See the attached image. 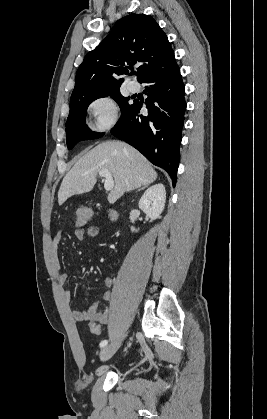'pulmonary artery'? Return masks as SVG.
Returning <instances> with one entry per match:
<instances>
[{"mask_svg":"<svg viewBox=\"0 0 267 419\" xmlns=\"http://www.w3.org/2000/svg\"><path fill=\"white\" fill-rule=\"evenodd\" d=\"M128 89L130 92L136 93L139 90V85L136 82L131 81L128 83Z\"/></svg>","mask_w":267,"mask_h":419,"instance_id":"obj_1","label":"pulmonary artery"}]
</instances>
